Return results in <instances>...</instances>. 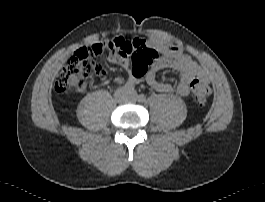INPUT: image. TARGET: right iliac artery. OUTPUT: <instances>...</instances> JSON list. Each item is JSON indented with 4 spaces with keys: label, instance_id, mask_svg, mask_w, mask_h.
<instances>
[{
    "label": "right iliac artery",
    "instance_id": "right-iliac-artery-1",
    "mask_svg": "<svg viewBox=\"0 0 265 202\" xmlns=\"http://www.w3.org/2000/svg\"><path fill=\"white\" fill-rule=\"evenodd\" d=\"M124 89L126 92L128 93H131V94H134L135 93V87H134V84L130 81H127L125 84H124Z\"/></svg>",
    "mask_w": 265,
    "mask_h": 202
}]
</instances>
